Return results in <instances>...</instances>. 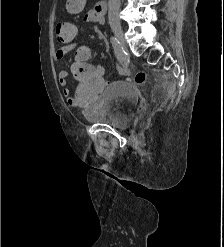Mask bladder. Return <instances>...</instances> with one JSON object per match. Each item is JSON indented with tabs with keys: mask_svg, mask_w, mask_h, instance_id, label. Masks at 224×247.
<instances>
[{
	"mask_svg": "<svg viewBox=\"0 0 224 247\" xmlns=\"http://www.w3.org/2000/svg\"><path fill=\"white\" fill-rule=\"evenodd\" d=\"M137 104L135 87L126 80H116L103 88L80 112L88 122L126 129L134 122Z\"/></svg>",
	"mask_w": 224,
	"mask_h": 247,
	"instance_id": "obj_1",
	"label": "bladder"
}]
</instances>
